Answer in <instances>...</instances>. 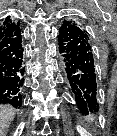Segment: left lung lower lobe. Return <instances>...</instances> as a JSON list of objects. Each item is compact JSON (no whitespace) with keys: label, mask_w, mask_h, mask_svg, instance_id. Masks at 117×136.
Returning a JSON list of instances; mask_svg holds the SVG:
<instances>
[{"label":"left lung lower lobe","mask_w":117,"mask_h":136,"mask_svg":"<svg viewBox=\"0 0 117 136\" xmlns=\"http://www.w3.org/2000/svg\"><path fill=\"white\" fill-rule=\"evenodd\" d=\"M59 51L64 53V69L68 86L82 114L99 111L94 48L89 34L64 20L59 28Z\"/></svg>","instance_id":"left-lung-lower-lobe-1"}]
</instances>
